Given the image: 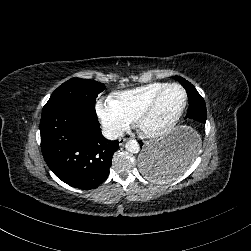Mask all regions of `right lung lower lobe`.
Wrapping results in <instances>:
<instances>
[{
    "label": "right lung lower lobe",
    "mask_w": 251,
    "mask_h": 251,
    "mask_svg": "<svg viewBox=\"0 0 251 251\" xmlns=\"http://www.w3.org/2000/svg\"><path fill=\"white\" fill-rule=\"evenodd\" d=\"M40 134L43 157L63 182L90 190L108 177L119 142L103 137L94 108L73 103L44 106Z\"/></svg>",
    "instance_id": "right-lung-lower-lobe-1"
}]
</instances>
